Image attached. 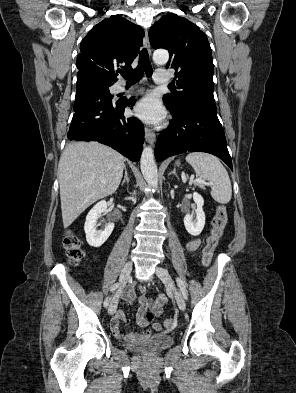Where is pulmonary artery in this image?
<instances>
[{"label": "pulmonary artery", "mask_w": 296, "mask_h": 393, "mask_svg": "<svg viewBox=\"0 0 296 393\" xmlns=\"http://www.w3.org/2000/svg\"><path fill=\"white\" fill-rule=\"evenodd\" d=\"M169 81V75L166 71L164 70H157L155 75H154V82L157 84H162L166 83ZM132 89H126L122 85H117L116 86V92H130Z\"/></svg>", "instance_id": "pulmonary-artery-1"}]
</instances>
